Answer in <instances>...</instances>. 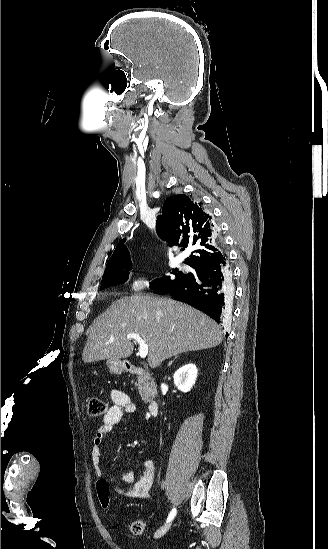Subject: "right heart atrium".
<instances>
[{
    "mask_svg": "<svg viewBox=\"0 0 328 549\" xmlns=\"http://www.w3.org/2000/svg\"><path fill=\"white\" fill-rule=\"evenodd\" d=\"M152 284V277L147 267L130 274L125 284V294L128 303H137L141 293L149 289Z\"/></svg>",
    "mask_w": 328,
    "mask_h": 549,
    "instance_id": "1",
    "label": "right heart atrium"
}]
</instances>
